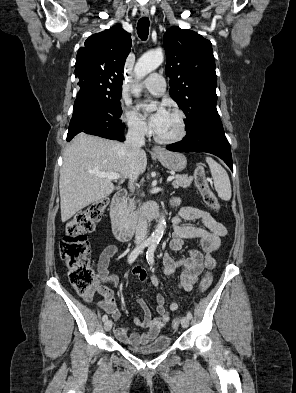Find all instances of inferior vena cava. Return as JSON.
Masks as SVG:
<instances>
[{"label":"inferior vena cava","instance_id":"inferior-vena-cava-1","mask_svg":"<svg viewBox=\"0 0 296 393\" xmlns=\"http://www.w3.org/2000/svg\"><path fill=\"white\" fill-rule=\"evenodd\" d=\"M146 126L142 122L129 124L126 141L122 144L121 151L125 155L130 165V185L133 186L134 181L139 176V167L137 165V156L140 148L145 144ZM147 237V222L143 213L140 211L138 226L136 230L135 243L141 244Z\"/></svg>","mask_w":296,"mask_h":393}]
</instances>
